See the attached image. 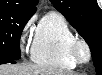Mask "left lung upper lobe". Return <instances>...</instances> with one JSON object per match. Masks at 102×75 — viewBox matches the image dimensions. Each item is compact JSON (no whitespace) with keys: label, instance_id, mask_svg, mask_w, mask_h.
<instances>
[{"label":"left lung upper lobe","instance_id":"left-lung-upper-lobe-1","mask_svg":"<svg viewBox=\"0 0 102 75\" xmlns=\"http://www.w3.org/2000/svg\"><path fill=\"white\" fill-rule=\"evenodd\" d=\"M90 46L97 74H102V11L96 0H50Z\"/></svg>","mask_w":102,"mask_h":75}]
</instances>
